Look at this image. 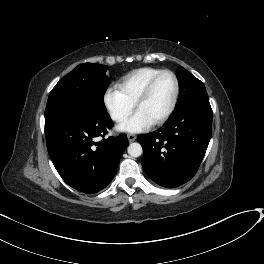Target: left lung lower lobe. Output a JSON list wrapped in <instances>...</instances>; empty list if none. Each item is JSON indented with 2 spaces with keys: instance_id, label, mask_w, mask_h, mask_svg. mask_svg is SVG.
I'll return each mask as SVG.
<instances>
[{
  "instance_id": "1",
  "label": "left lung lower lobe",
  "mask_w": 264,
  "mask_h": 264,
  "mask_svg": "<svg viewBox=\"0 0 264 264\" xmlns=\"http://www.w3.org/2000/svg\"><path fill=\"white\" fill-rule=\"evenodd\" d=\"M212 133V109L208 97L188 101L175 110L156 132L140 134L142 166L158 185L178 187L197 172Z\"/></svg>"
}]
</instances>
